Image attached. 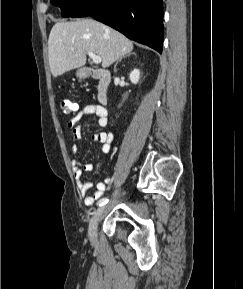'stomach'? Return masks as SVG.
I'll return each mask as SVG.
<instances>
[{
    "label": "stomach",
    "mask_w": 243,
    "mask_h": 289,
    "mask_svg": "<svg viewBox=\"0 0 243 289\" xmlns=\"http://www.w3.org/2000/svg\"><path fill=\"white\" fill-rule=\"evenodd\" d=\"M77 76H78L79 78H84L86 75H85V73H84L83 70H78V71H77Z\"/></svg>",
    "instance_id": "stomach-1"
}]
</instances>
